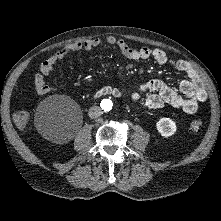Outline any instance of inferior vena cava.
<instances>
[{"label": "inferior vena cava", "instance_id": "602c4592", "mask_svg": "<svg viewBox=\"0 0 221 221\" xmlns=\"http://www.w3.org/2000/svg\"><path fill=\"white\" fill-rule=\"evenodd\" d=\"M101 114H102V110L99 106L90 107L88 111V115L92 119L98 118L99 116H101Z\"/></svg>", "mask_w": 221, "mask_h": 221}]
</instances>
